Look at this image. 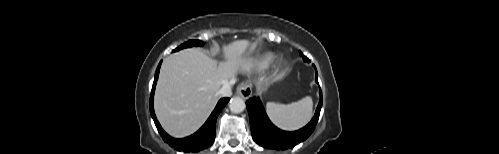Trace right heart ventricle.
I'll list each match as a JSON object with an SVG mask.
<instances>
[{"label":"right heart ventricle","mask_w":499,"mask_h":154,"mask_svg":"<svg viewBox=\"0 0 499 154\" xmlns=\"http://www.w3.org/2000/svg\"><path fill=\"white\" fill-rule=\"evenodd\" d=\"M274 60V56L271 53H266L260 55L251 61V66L257 70L267 69Z\"/></svg>","instance_id":"1"}]
</instances>
